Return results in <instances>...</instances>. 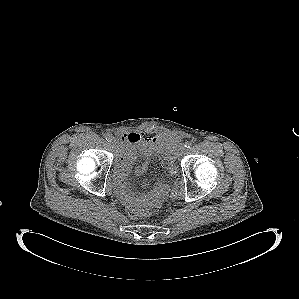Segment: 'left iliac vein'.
Masks as SVG:
<instances>
[{
    "label": "left iliac vein",
    "instance_id": "1",
    "mask_svg": "<svg viewBox=\"0 0 299 299\" xmlns=\"http://www.w3.org/2000/svg\"><path fill=\"white\" fill-rule=\"evenodd\" d=\"M185 152H186V148H185V146H184V145H181V146L179 147V149H178V156H182V155H184Z\"/></svg>",
    "mask_w": 299,
    "mask_h": 299
}]
</instances>
